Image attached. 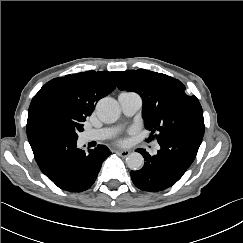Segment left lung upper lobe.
<instances>
[{"label": "left lung upper lobe", "mask_w": 243, "mask_h": 243, "mask_svg": "<svg viewBox=\"0 0 243 243\" xmlns=\"http://www.w3.org/2000/svg\"><path fill=\"white\" fill-rule=\"evenodd\" d=\"M118 88L141 96L143 118L151 131L147 141L156 137L159 143L179 129L204 125L199 100L186 94L185 86L173 77L145 69L126 70Z\"/></svg>", "instance_id": "left-lung-upper-lobe-1"}]
</instances>
